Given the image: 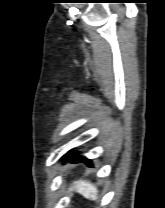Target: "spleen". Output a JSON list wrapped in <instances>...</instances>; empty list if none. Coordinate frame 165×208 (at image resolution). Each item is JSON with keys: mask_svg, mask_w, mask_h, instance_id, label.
<instances>
[{"mask_svg": "<svg viewBox=\"0 0 165 208\" xmlns=\"http://www.w3.org/2000/svg\"><path fill=\"white\" fill-rule=\"evenodd\" d=\"M76 190L78 193L83 195L86 199H91L95 201L97 199L98 190L90 182L87 181H75L73 187L70 188V191Z\"/></svg>", "mask_w": 165, "mask_h": 208, "instance_id": "3e777b00", "label": "spleen"}]
</instances>
